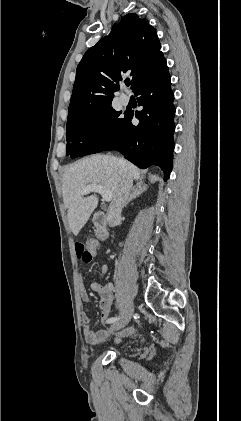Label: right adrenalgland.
Here are the masks:
<instances>
[{
	"mask_svg": "<svg viewBox=\"0 0 241 421\" xmlns=\"http://www.w3.org/2000/svg\"><path fill=\"white\" fill-rule=\"evenodd\" d=\"M146 190H147V185L143 184L142 181L137 183L135 186L132 187L131 194L129 198L127 199L124 206H127L129 202H131L133 199L141 195Z\"/></svg>",
	"mask_w": 241,
	"mask_h": 421,
	"instance_id": "2a0ac1e0",
	"label": "right adrenal gland"
}]
</instances>
